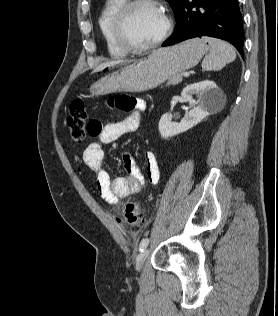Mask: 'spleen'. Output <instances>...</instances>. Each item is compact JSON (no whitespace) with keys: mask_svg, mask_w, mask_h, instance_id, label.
I'll list each match as a JSON object with an SVG mask.
<instances>
[{"mask_svg":"<svg viewBox=\"0 0 278 316\" xmlns=\"http://www.w3.org/2000/svg\"><path fill=\"white\" fill-rule=\"evenodd\" d=\"M203 42H206L210 46V53L205 56L202 62V69L206 71H216L222 69L227 63L235 60L236 52L234 48L228 43L204 36L201 38Z\"/></svg>","mask_w":278,"mask_h":316,"instance_id":"1","label":"spleen"}]
</instances>
